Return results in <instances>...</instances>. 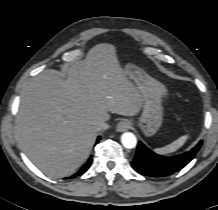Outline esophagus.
Wrapping results in <instances>:
<instances>
[{"label":"esophagus","mask_w":218,"mask_h":210,"mask_svg":"<svg viewBox=\"0 0 218 210\" xmlns=\"http://www.w3.org/2000/svg\"><path fill=\"white\" fill-rule=\"evenodd\" d=\"M131 128V124L128 120H121L118 124H117V131L119 132H124L127 131Z\"/></svg>","instance_id":"1"}]
</instances>
